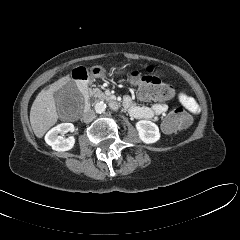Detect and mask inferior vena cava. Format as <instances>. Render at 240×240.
Instances as JSON below:
<instances>
[{
	"mask_svg": "<svg viewBox=\"0 0 240 240\" xmlns=\"http://www.w3.org/2000/svg\"><path fill=\"white\" fill-rule=\"evenodd\" d=\"M95 118V112L93 110H89L88 112L84 113L82 120L85 123H90Z\"/></svg>",
	"mask_w": 240,
	"mask_h": 240,
	"instance_id": "inferior-vena-cava-1",
	"label": "inferior vena cava"
}]
</instances>
